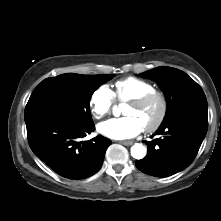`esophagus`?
Wrapping results in <instances>:
<instances>
[{"label": "esophagus", "instance_id": "esophagus-1", "mask_svg": "<svg viewBox=\"0 0 221 221\" xmlns=\"http://www.w3.org/2000/svg\"><path fill=\"white\" fill-rule=\"evenodd\" d=\"M121 144L125 145V146H130L132 145L134 142L131 140H126V141H120Z\"/></svg>", "mask_w": 221, "mask_h": 221}]
</instances>
